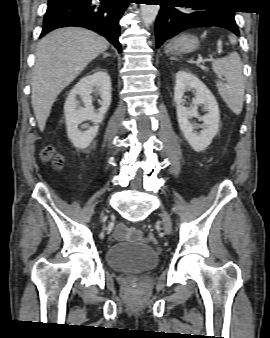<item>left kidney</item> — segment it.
<instances>
[{"mask_svg":"<svg viewBox=\"0 0 270 338\" xmlns=\"http://www.w3.org/2000/svg\"><path fill=\"white\" fill-rule=\"evenodd\" d=\"M191 89L195 91V100L194 107L189 109L183 105V95ZM174 101L177 106L178 124L185 139L195 151L205 150L219 129L220 111L214 95L197 76L187 70H181L176 73ZM200 104L207 111L204 116L198 114L197 106ZM193 117L204 122L200 134L194 132L195 125L189 121Z\"/></svg>","mask_w":270,"mask_h":338,"instance_id":"obj_1","label":"left kidney"}]
</instances>
